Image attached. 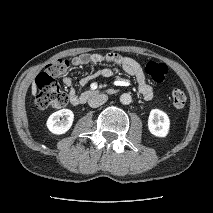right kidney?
<instances>
[{"label":"right kidney","mask_w":213,"mask_h":213,"mask_svg":"<svg viewBox=\"0 0 213 213\" xmlns=\"http://www.w3.org/2000/svg\"><path fill=\"white\" fill-rule=\"evenodd\" d=\"M74 113L70 109H61L51 114L47 120V128L53 134H64L72 126Z\"/></svg>","instance_id":"1"}]
</instances>
